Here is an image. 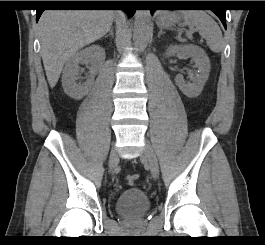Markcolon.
<instances>
[{
  "instance_id": "5ec220e1",
  "label": "colon",
  "mask_w": 265,
  "mask_h": 245,
  "mask_svg": "<svg viewBox=\"0 0 265 245\" xmlns=\"http://www.w3.org/2000/svg\"><path fill=\"white\" fill-rule=\"evenodd\" d=\"M138 179H139V175L138 174H131V175L128 176V181L130 183H135Z\"/></svg>"
}]
</instances>
